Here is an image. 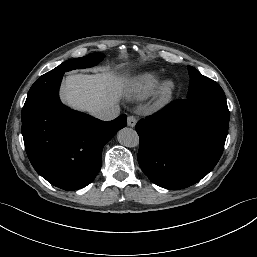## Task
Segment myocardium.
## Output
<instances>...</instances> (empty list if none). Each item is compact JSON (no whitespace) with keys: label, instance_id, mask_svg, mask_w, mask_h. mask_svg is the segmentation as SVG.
Returning a JSON list of instances; mask_svg holds the SVG:
<instances>
[{"label":"myocardium","instance_id":"myocardium-1","mask_svg":"<svg viewBox=\"0 0 257 257\" xmlns=\"http://www.w3.org/2000/svg\"><path fill=\"white\" fill-rule=\"evenodd\" d=\"M175 91V85L172 81H166L160 87L156 101L154 103L155 109H160L166 106L172 99Z\"/></svg>","mask_w":257,"mask_h":257}]
</instances>
